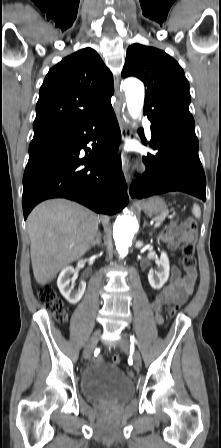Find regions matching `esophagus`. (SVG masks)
<instances>
[{
	"label": "esophagus",
	"instance_id": "obj_1",
	"mask_svg": "<svg viewBox=\"0 0 221 448\" xmlns=\"http://www.w3.org/2000/svg\"><path fill=\"white\" fill-rule=\"evenodd\" d=\"M116 97H117V101H116L115 111H116L117 117H118L122 140L124 143H126L130 139L131 129H130L129 122L126 120V118H124L122 116V113H121L123 99L118 90V85L116 86ZM128 169H129V161H128L127 157L124 156V157H122V170H123V173L125 175L127 182L130 180V175L128 173Z\"/></svg>",
	"mask_w": 221,
	"mask_h": 448
}]
</instances>
